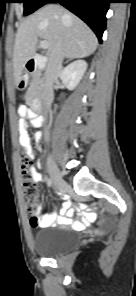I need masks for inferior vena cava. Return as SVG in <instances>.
I'll return each mask as SVG.
<instances>
[{
  "label": "inferior vena cava",
  "instance_id": "obj_1",
  "mask_svg": "<svg viewBox=\"0 0 136 296\" xmlns=\"http://www.w3.org/2000/svg\"><path fill=\"white\" fill-rule=\"evenodd\" d=\"M63 58L64 54L61 46H59L49 58L45 74L44 90L42 96L43 105L46 113L53 102V80L56 74L62 70ZM45 135L47 138V128L45 129Z\"/></svg>",
  "mask_w": 136,
  "mask_h": 296
}]
</instances>
